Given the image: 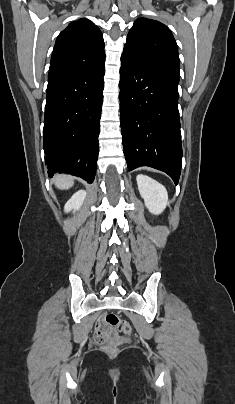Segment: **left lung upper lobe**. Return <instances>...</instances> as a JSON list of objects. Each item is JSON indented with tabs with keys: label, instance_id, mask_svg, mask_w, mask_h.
Masks as SVG:
<instances>
[{
	"label": "left lung upper lobe",
	"instance_id": "left-lung-upper-lobe-1",
	"mask_svg": "<svg viewBox=\"0 0 235 404\" xmlns=\"http://www.w3.org/2000/svg\"><path fill=\"white\" fill-rule=\"evenodd\" d=\"M123 53L180 76L176 41L170 29L159 21L137 19L128 33Z\"/></svg>",
	"mask_w": 235,
	"mask_h": 404
}]
</instances>
